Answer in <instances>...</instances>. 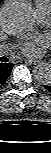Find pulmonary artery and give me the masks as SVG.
<instances>
[{
	"mask_svg": "<svg viewBox=\"0 0 51 153\" xmlns=\"http://www.w3.org/2000/svg\"><path fill=\"white\" fill-rule=\"evenodd\" d=\"M37 12V11H36ZM51 10L44 9L37 12V19L40 23L44 24L50 20Z\"/></svg>",
	"mask_w": 51,
	"mask_h": 153,
	"instance_id": "1",
	"label": "pulmonary artery"
}]
</instances>
